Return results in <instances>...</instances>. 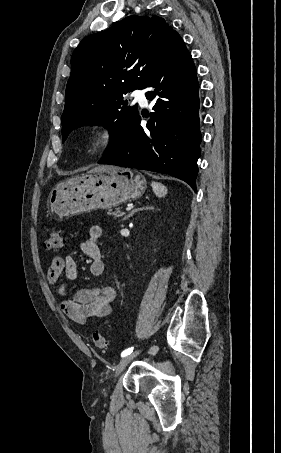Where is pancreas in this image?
Instances as JSON below:
<instances>
[{"label":"pancreas","mask_w":281,"mask_h":453,"mask_svg":"<svg viewBox=\"0 0 281 453\" xmlns=\"http://www.w3.org/2000/svg\"><path fill=\"white\" fill-rule=\"evenodd\" d=\"M109 214H115V216H122L123 212H121L120 208H116L114 212H109Z\"/></svg>","instance_id":"obj_1"}]
</instances>
